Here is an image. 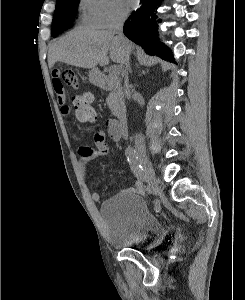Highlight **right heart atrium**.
Instances as JSON below:
<instances>
[{
	"mask_svg": "<svg viewBox=\"0 0 245 300\" xmlns=\"http://www.w3.org/2000/svg\"><path fill=\"white\" fill-rule=\"evenodd\" d=\"M83 21L95 28H109L125 20L122 0H80Z\"/></svg>",
	"mask_w": 245,
	"mask_h": 300,
	"instance_id": "right-heart-atrium-1",
	"label": "right heart atrium"
}]
</instances>
